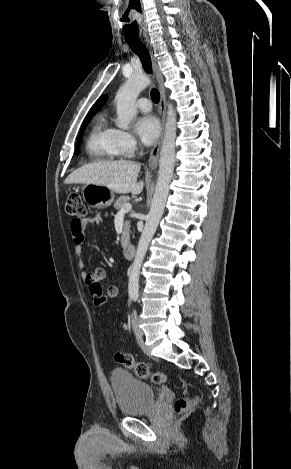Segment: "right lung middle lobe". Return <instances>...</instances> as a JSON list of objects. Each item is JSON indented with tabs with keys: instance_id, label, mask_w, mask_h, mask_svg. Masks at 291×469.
Instances as JSON below:
<instances>
[{
	"instance_id": "right-lung-middle-lobe-1",
	"label": "right lung middle lobe",
	"mask_w": 291,
	"mask_h": 469,
	"mask_svg": "<svg viewBox=\"0 0 291 469\" xmlns=\"http://www.w3.org/2000/svg\"><path fill=\"white\" fill-rule=\"evenodd\" d=\"M91 117H92V116H88V117H86V118L84 119L83 124H82V126H81L79 138H78V143L80 142V139L82 138L84 129L86 128L87 124L89 123ZM76 154H79L78 145H77V148H76Z\"/></svg>"
}]
</instances>
